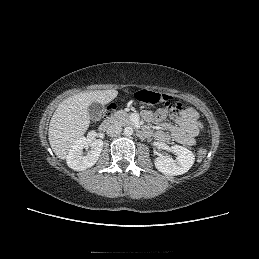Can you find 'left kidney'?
I'll return each instance as SVG.
<instances>
[{"mask_svg":"<svg viewBox=\"0 0 259 259\" xmlns=\"http://www.w3.org/2000/svg\"><path fill=\"white\" fill-rule=\"evenodd\" d=\"M171 150L177 154L176 160L169 156H159L154 159L155 167L158 171L166 175H181L186 173L194 164L195 156L187 148L174 145Z\"/></svg>","mask_w":259,"mask_h":259,"instance_id":"1","label":"left kidney"}]
</instances>
